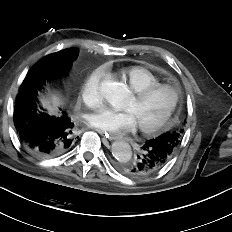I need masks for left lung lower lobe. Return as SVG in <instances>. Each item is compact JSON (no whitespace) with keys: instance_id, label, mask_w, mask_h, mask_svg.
Instances as JSON below:
<instances>
[{"instance_id":"left-lung-lower-lobe-1","label":"left lung lower lobe","mask_w":232,"mask_h":232,"mask_svg":"<svg viewBox=\"0 0 232 232\" xmlns=\"http://www.w3.org/2000/svg\"><path fill=\"white\" fill-rule=\"evenodd\" d=\"M172 156L169 148L152 139L143 144L133 163L123 165L120 168L130 177H144L159 171Z\"/></svg>"}]
</instances>
